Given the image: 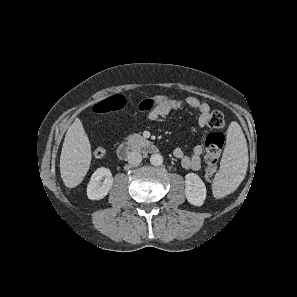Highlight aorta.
Listing matches in <instances>:
<instances>
[{
	"mask_svg": "<svg viewBox=\"0 0 297 297\" xmlns=\"http://www.w3.org/2000/svg\"><path fill=\"white\" fill-rule=\"evenodd\" d=\"M150 163L153 166H160L163 163V157L160 154H153L150 157Z\"/></svg>",
	"mask_w": 297,
	"mask_h": 297,
	"instance_id": "1",
	"label": "aorta"
}]
</instances>
